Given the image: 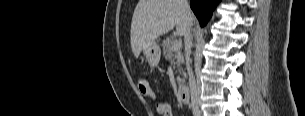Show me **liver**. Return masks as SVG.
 I'll list each match as a JSON object with an SVG mask.
<instances>
[{
  "label": "liver",
  "mask_w": 305,
  "mask_h": 116,
  "mask_svg": "<svg viewBox=\"0 0 305 116\" xmlns=\"http://www.w3.org/2000/svg\"><path fill=\"white\" fill-rule=\"evenodd\" d=\"M190 10L184 8V0H139L131 23V48L139 57L143 47L168 33L174 27L184 35L186 24L192 21Z\"/></svg>",
  "instance_id": "liver-1"
}]
</instances>
